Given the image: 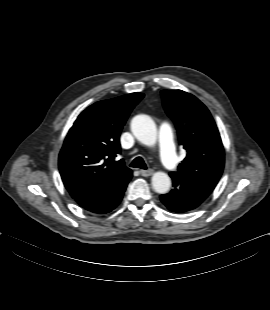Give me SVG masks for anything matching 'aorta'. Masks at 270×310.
<instances>
[{"instance_id":"762f6f07","label":"aorta","mask_w":270,"mask_h":310,"mask_svg":"<svg viewBox=\"0 0 270 310\" xmlns=\"http://www.w3.org/2000/svg\"><path fill=\"white\" fill-rule=\"evenodd\" d=\"M131 131L143 144L152 146L157 140V128L147 115H136L131 121ZM152 187L159 194H166L171 187V179L165 172H155L152 176Z\"/></svg>"}]
</instances>
